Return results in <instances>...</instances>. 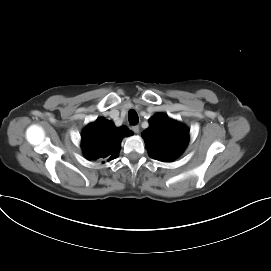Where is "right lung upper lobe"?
<instances>
[{
	"label": "right lung upper lobe",
	"mask_w": 271,
	"mask_h": 271,
	"mask_svg": "<svg viewBox=\"0 0 271 271\" xmlns=\"http://www.w3.org/2000/svg\"><path fill=\"white\" fill-rule=\"evenodd\" d=\"M132 134L125 126L117 128L111 121L99 118L82 133L84 155L88 160L115 159L120 151L122 138Z\"/></svg>",
	"instance_id": "obj_1"
}]
</instances>
